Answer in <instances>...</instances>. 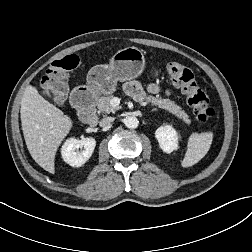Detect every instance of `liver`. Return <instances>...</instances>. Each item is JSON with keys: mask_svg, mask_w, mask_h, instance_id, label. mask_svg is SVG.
<instances>
[{"mask_svg": "<svg viewBox=\"0 0 252 252\" xmlns=\"http://www.w3.org/2000/svg\"><path fill=\"white\" fill-rule=\"evenodd\" d=\"M20 116L30 155L40 167L54 174L56 151L73 126L71 118L46 101L33 86L24 92Z\"/></svg>", "mask_w": 252, "mask_h": 252, "instance_id": "6515ba94", "label": "liver"}]
</instances>
